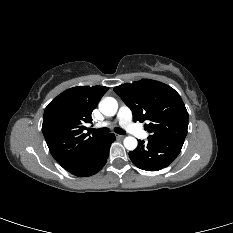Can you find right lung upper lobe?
<instances>
[{
	"mask_svg": "<svg viewBox=\"0 0 233 233\" xmlns=\"http://www.w3.org/2000/svg\"><path fill=\"white\" fill-rule=\"evenodd\" d=\"M108 87L77 86L65 90L45 109L42 132L55 160L67 168L103 135L83 133L91 113Z\"/></svg>",
	"mask_w": 233,
	"mask_h": 233,
	"instance_id": "cb5924a9",
	"label": "right lung upper lobe"
}]
</instances>
